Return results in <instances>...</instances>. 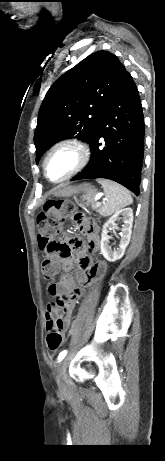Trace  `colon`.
I'll use <instances>...</instances> for the list:
<instances>
[{"label":"colon","instance_id":"colon-1","mask_svg":"<svg viewBox=\"0 0 165 461\" xmlns=\"http://www.w3.org/2000/svg\"><path fill=\"white\" fill-rule=\"evenodd\" d=\"M74 210V205L69 201L50 200L44 205V212L39 215L37 226L39 230V245L48 254L59 251H72V246L58 238L59 229L64 222L65 216ZM42 273L45 279L54 278L56 271L49 258L42 263ZM49 331L47 344L50 350H58L64 343L62 335V320L57 317L46 326Z\"/></svg>","mask_w":165,"mask_h":461}]
</instances>
